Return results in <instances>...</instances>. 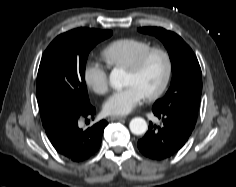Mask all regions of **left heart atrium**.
<instances>
[{"instance_id": "obj_1", "label": "left heart atrium", "mask_w": 236, "mask_h": 187, "mask_svg": "<svg viewBox=\"0 0 236 187\" xmlns=\"http://www.w3.org/2000/svg\"><path fill=\"white\" fill-rule=\"evenodd\" d=\"M144 98V94L135 85L114 92L104 103L105 113L112 116L129 114Z\"/></svg>"}]
</instances>
